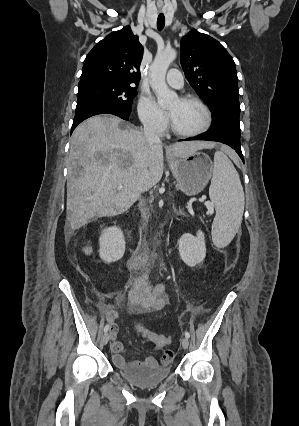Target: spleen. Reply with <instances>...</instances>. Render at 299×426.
<instances>
[{"mask_svg":"<svg viewBox=\"0 0 299 426\" xmlns=\"http://www.w3.org/2000/svg\"><path fill=\"white\" fill-rule=\"evenodd\" d=\"M209 196L216 210L212 240L218 248H223L232 241L241 225L245 198L233 163L221 151L214 155Z\"/></svg>","mask_w":299,"mask_h":426,"instance_id":"1","label":"spleen"}]
</instances>
